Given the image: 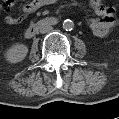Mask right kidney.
<instances>
[{
    "instance_id": "obj_1",
    "label": "right kidney",
    "mask_w": 119,
    "mask_h": 119,
    "mask_svg": "<svg viewBox=\"0 0 119 119\" xmlns=\"http://www.w3.org/2000/svg\"><path fill=\"white\" fill-rule=\"evenodd\" d=\"M28 53V48L24 44H15L8 49L6 58L11 63L22 61Z\"/></svg>"
}]
</instances>
